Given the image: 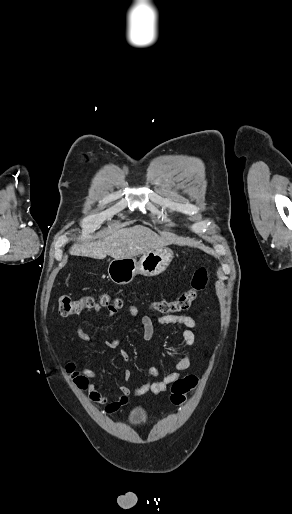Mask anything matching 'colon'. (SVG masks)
Returning a JSON list of instances; mask_svg holds the SVG:
<instances>
[{
    "label": "colon",
    "instance_id": "1",
    "mask_svg": "<svg viewBox=\"0 0 292 514\" xmlns=\"http://www.w3.org/2000/svg\"><path fill=\"white\" fill-rule=\"evenodd\" d=\"M209 279V269L201 267L197 269L190 282V287L175 300H159L152 303L154 311L161 314L181 313L190 309L198 295L206 288ZM94 306H100L106 309L117 310L122 306L120 294L110 297L108 294L101 295L97 300L90 297L73 298L69 295H61L59 298L60 314L65 317L79 315ZM66 371L71 375L75 384L84 388L86 386L85 377L75 371L72 363L66 366ZM182 379L176 380L172 384L173 402L177 404L185 403L186 400L182 394H189L191 388L197 385L199 381L198 373H183Z\"/></svg>",
    "mask_w": 292,
    "mask_h": 514
}]
</instances>
